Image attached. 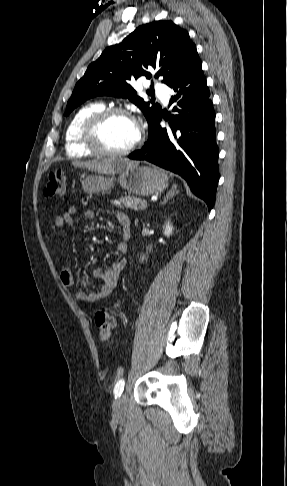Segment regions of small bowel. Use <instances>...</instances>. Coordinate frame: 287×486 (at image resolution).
Here are the masks:
<instances>
[{"label":"small bowel","mask_w":287,"mask_h":486,"mask_svg":"<svg viewBox=\"0 0 287 486\" xmlns=\"http://www.w3.org/2000/svg\"><path fill=\"white\" fill-rule=\"evenodd\" d=\"M77 214L78 208L72 206L66 212L60 215H55L53 217V223L59 229L71 227L75 224V217ZM82 215L86 219H93L96 217V213L92 210H85L83 211ZM116 218L121 226V237L116 244V250L120 254H125L128 251V242L131 236V219L127 213L122 211L116 212ZM125 265L126 260L124 258H120L116 260L109 268H96L93 271L91 278L94 280H100L102 282L100 290L97 292H85L78 289L75 292V298L82 302L95 303L100 299L107 297L116 287ZM60 280L62 285L67 288H75L78 286V283L68 265H64L62 267L60 272Z\"/></svg>","instance_id":"obj_1"}]
</instances>
